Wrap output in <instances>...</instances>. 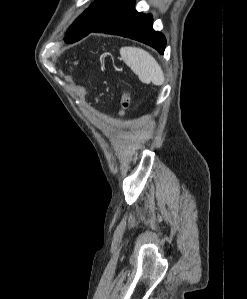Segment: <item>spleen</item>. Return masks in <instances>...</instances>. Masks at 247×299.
Returning a JSON list of instances; mask_svg holds the SVG:
<instances>
[{
    "label": "spleen",
    "instance_id": "1",
    "mask_svg": "<svg viewBox=\"0 0 247 299\" xmlns=\"http://www.w3.org/2000/svg\"><path fill=\"white\" fill-rule=\"evenodd\" d=\"M120 55L125 64L139 77L140 81L154 85L164 83V74L155 58L138 47H122Z\"/></svg>",
    "mask_w": 247,
    "mask_h": 299
}]
</instances>
